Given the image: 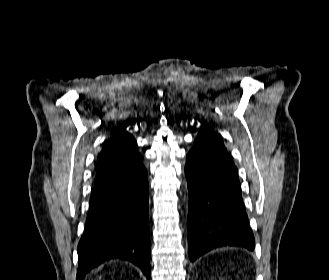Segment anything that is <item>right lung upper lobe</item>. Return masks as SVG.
<instances>
[{
  "instance_id": "right-lung-upper-lobe-1",
  "label": "right lung upper lobe",
  "mask_w": 329,
  "mask_h": 280,
  "mask_svg": "<svg viewBox=\"0 0 329 280\" xmlns=\"http://www.w3.org/2000/svg\"><path fill=\"white\" fill-rule=\"evenodd\" d=\"M134 137L122 126L116 135L108 139L98 157L97 173L114 168H129L141 165V154L136 150Z\"/></svg>"
}]
</instances>
